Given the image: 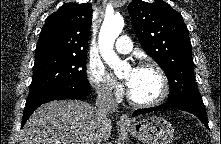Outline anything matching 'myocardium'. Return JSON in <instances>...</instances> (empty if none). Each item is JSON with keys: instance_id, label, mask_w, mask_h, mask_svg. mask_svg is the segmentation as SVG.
<instances>
[{"instance_id": "myocardium-1", "label": "myocardium", "mask_w": 221, "mask_h": 144, "mask_svg": "<svg viewBox=\"0 0 221 144\" xmlns=\"http://www.w3.org/2000/svg\"><path fill=\"white\" fill-rule=\"evenodd\" d=\"M147 68L155 70L159 75L161 80V91L160 94L151 101H138L133 97L130 90H128L127 91L128 101L133 106L136 107H142V108L155 107L161 104L166 99L169 93V81L164 70L155 62H143L137 67V69H147Z\"/></svg>"}]
</instances>
